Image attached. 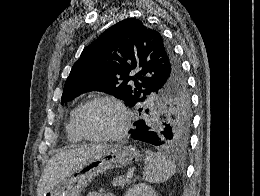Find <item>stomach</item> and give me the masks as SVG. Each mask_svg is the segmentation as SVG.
Instances as JSON below:
<instances>
[{
    "label": "stomach",
    "instance_id": "stomach-1",
    "mask_svg": "<svg viewBox=\"0 0 260 196\" xmlns=\"http://www.w3.org/2000/svg\"><path fill=\"white\" fill-rule=\"evenodd\" d=\"M137 160H139L138 150L133 146H119V144L106 146L102 152L75 166L68 180H59V185H67V187H51V191L42 193V196H81L82 190L99 174L112 168L128 166Z\"/></svg>",
    "mask_w": 260,
    "mask_h": 196
}]
</instances>
